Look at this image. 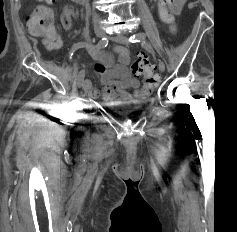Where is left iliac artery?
I'll list each match as a JSON object with an SVG mask.
<instances>
[{
	"label": "left iliac artery",
	"mask_w": 237,
	"mask_h": 232,
	"mask_svg": "<svg viewBox=\"0 0 237 232\" xmlns=\"http://www.w3.org/2000/svg\"><path fill=\"white\" fill-rule=\"evenodd\" d=\"M146 35H147V34H145V33H137V34H134L133 36H131V37L129 38V41L132 42V43H134V42H140V41H142V40L145 39Z\"/></svg>",
	"instance_id": "1"
}]
</instances>
